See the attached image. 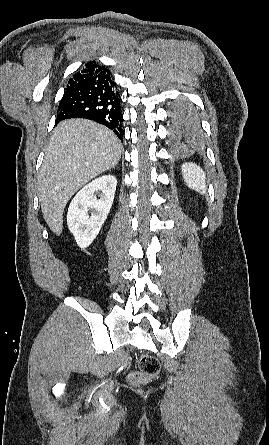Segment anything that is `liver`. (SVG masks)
Segmentation results:
<instances>
[{
	"mask_svg": "<svg viewBox=\"0 0 269 445\" xmlns=\"http://www.w3.org/2000/svg\"><path fill=\"white\" fill-rule=\"evenodd\" d=\"M121 144L108 128L85 119L62 121L53 130L38 176L43 217L56 235L70 198L86 183L114 168Z\"/></svg>",
	"mask_w": 269,
	"mask_h": 445,
	"instance_id": "liver-1",
	"label": "liver"
}]
</instances>
